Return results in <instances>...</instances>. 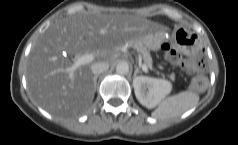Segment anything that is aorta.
Segmentation results:
<instances>
[{
    "instance_id": "aorta-1",
    "label": "aorta",
    "mask_w": 238,
    "mask_h": 145,
    "mask_svg": "<svg viewBox=\"0 0 238 145\" xmlns=\"http://www.w3.org/2000/svg\"><path fill=\"white\" fill-rule=\"evenodd\" d=\"M116 72L120 75H126L129 72V65L127 62H120L116 66Z\"/></svg>"
}]
</instances>
